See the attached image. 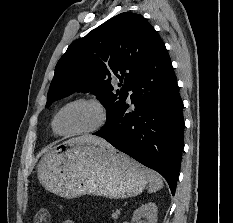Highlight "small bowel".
Wrapping results in <instances>:
<instances>
[{
    "mask_svg": "<svg viewBox=\"0 0 233 223\" xmlns=\"http://www.w3.org/2000/svg\"><path fill=\"white\" fill-rule=\"evenodd\" d=\"M62 223H75L72 219H65Z\"/></svg>",
    "mask_w": 233,
    "mask_h": 223,
    "instance_id": "obj_1",
    "label": "small bowel"
}]
</instances>
